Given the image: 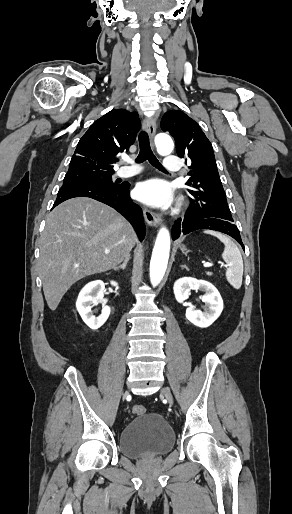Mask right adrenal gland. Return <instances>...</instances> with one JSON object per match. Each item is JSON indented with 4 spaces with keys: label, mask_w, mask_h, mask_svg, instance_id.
Wrapping results in <instances>:
<instances>
[{
    "label": "right adrenal gland",
    "mask_w": 292,
    "mask_h": 514,
    "mask_svg": "<svg viewBox=\"0 0 292 514\" xmlns=\"http://www.w3.org/2000/svg\"><path fill=\"white\" fill-rule=\"evenodd\" d=\"M129 260H130V256H127V258H125L123 264H121V266H118V268H114V270H125Z\"/></svg>",
    "instance_id": "obj_1"
}]
</instances>
